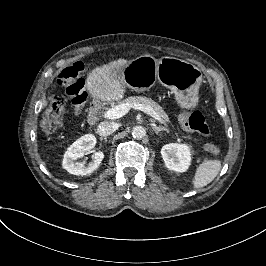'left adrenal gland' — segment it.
I'll list each match as a JSON object with an SVG mask.
<instances>
[{"label":"left adrenal gland","mask_w":266,"mask_h":266,"mask_svg":"<svg viewBox=\"0 0 266 266\" xmlns=\"http://www.w3.org/2000/svg\"><path fill=\"white\" fill-rule=\"evenodd\" d=\"M152 129L154 130V132H155L156 134H158L160 131H166V132H168V129L165 128V127H163V126H156V125H153V126H152Z\"/></svg>","instance_id":"1"}]
</instances>
